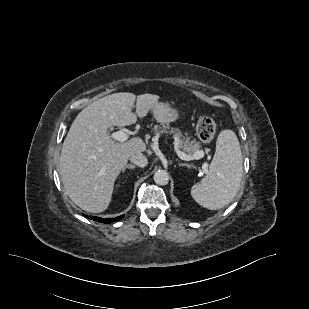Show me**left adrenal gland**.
<instances>
[{
	"mask_svg": "<svg viewBox=\"0 0 309 309\" xmlns=\"http://www.w3.org/2000/svg\"><path fill=\"white\" fill-rule=\"evenodd\" d=\"M179 166H184V167H188V168H192L193 166L187 163H179Z\"/></svg>",
	"mask_w": 309,
	"mask_h": 309,
	"instance_id": "a2214340",
	"label": "left adrenal gland"
}]
</instances>
